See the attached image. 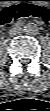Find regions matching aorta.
<instances>
[{"mask_svg": "<svg viewBox=\"0 0 50 111\" xmlns=\"http://www.w3.org/2000/svg\"><path fill=\"white\" fill-rule=\"evenodd\" d=\"M24 32L28 35H35L38 33V25L29 22L24 26Z\"/></svg>", "mask_w": 50, "mask_h": 111, "instance_id": "1", "label": "aorta"}]
</instances>
